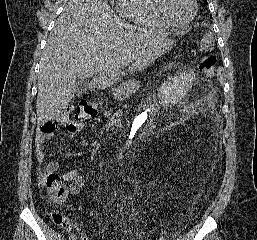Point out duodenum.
Returning <instances> with one entry per match:
<instances>
[{
	"instance_id": "410a0bca",
	"label": "duodenum",
	"mask_w": 257,
	"mask_h": 240,
	"mask_svg": "<svg viewBox=\"0 0 257 240\" xmlns=\"http://www.w3.org/2000/svg\"><path fill=\"white\" fill-rule=\"evenodd\" d=\"M97 80H94L93 83H92V86L95 87L97 85Z\"/></svg>"
}]
</instances>
